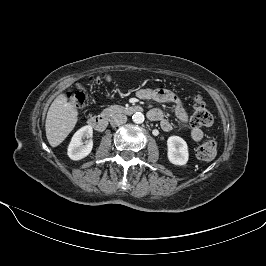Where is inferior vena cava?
Returning <instances> with one entry per match:
<instances>
[{"label": "inferior vena cava", "mask_w": 266, "mask_h": 266, "mask_svg": "<svg viewBox=\"0 0 266 266\" xmlns=\"http://www.w3.org/2000/svg\"><path fill=\"white\" fill-rule=\"evenodd\" d=\"M127 122V116L124 114H115L110 119V124L113 127L120 126Z\"/></svg>", "instance_id": "1"}]
</instances>
